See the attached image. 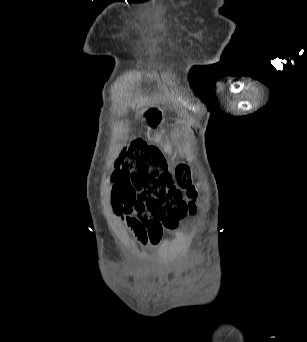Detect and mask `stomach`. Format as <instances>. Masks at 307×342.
<instances>
[{
    "label": "stomach",
    "mask_w": 307,
    "mask_h": 342,
    "mask_svg": "<svg viewBox=\"0 0 307 342\" xmlns=\"http://www.w3.org/2000/svg\"><path fill=\"white\" fill-rule=\"evenodd\" d=\"M143 118L152 124H160L163 121L162 110L152 107L141 112Z\"/></svg>",
    "instance_id": "stomach-1"
}]
</instances>
